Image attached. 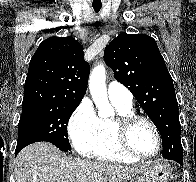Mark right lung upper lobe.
Listing matches in <instances>:
<instances>
[{"instance_id":"right-lung-upper-lobe-1","label":"right lung upper lobe","mask_w":196,"mask_h":182,"mask_svg":"<svg viewBox=\"0 0 196 182\" xmlns=\"http://www.w3.org/2000/svg\"><path fill=\"white\" fill-rule=\"evenodd\" d=\"M90 73L83 46L73 37H50L30 61L22 107L47 104L79 105Z\"/></svg>"}]
</instances>
